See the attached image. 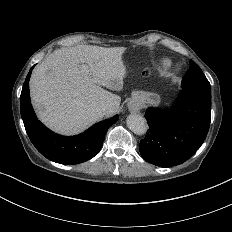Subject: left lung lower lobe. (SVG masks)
Instances as JSON below:
<instances>
[{
  "label": "left lung lower lobe",
  "mask_w": 232,
  "mask_h": 232,
  "mask_svg": "<svg viewBox=\"0 0 232 232\" xmlns=\"http://www.w3.org/2000/svg\"><path fill=\"white\" fill-rule=\"evenodd\" d=\"M149 125L140 141L144 160L159 167L180 165L201 147L211 121V101L182 90L176 104L168 109L145 112Z\"/></svg>",
  "instance_id": "obj_1"
}]
</instances>
